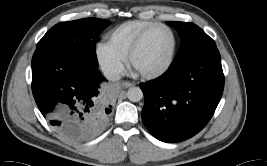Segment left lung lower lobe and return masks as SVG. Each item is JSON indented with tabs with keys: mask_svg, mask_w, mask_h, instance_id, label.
<instances>
[{
	"mask_svg": "<svg viewBox=\"0 0 267 166\" xmlns=\"http://www.w3.org/2000/svg\"><path fill=\"white\" fill-rule=\"evenodd\" d=\"M145 96L142 120L163 142L191 138L209 122L221 99L224 74L217 48L172 63L154 80L141 83Z\"/></svg>",
	"mask_w": 267,
	"mask_h": 166,
	"instance_id": "left-lung-lower-lobe-1",
	"label": "left lung lower lobe"
}]
</instances>
